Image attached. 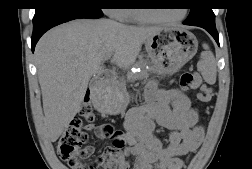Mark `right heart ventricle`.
<instances>
[{"mask_svg":"<svg viewBox=\"0 0 252 169\" xmlns=\"http://www.w3.org/2000/svg\"><path fill=\"white\" fill-rule=\"evenodd\" d=\"M125 21L127 22H138V18L135 15L134 9H126L125 10Z\"/></svg>","mask_w":252,"mask_h":169,"instance_id":"obj_1","label":"right heart ventricle"}]
</instances>
